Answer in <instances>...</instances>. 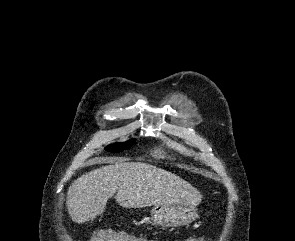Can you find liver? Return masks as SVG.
<instances>
[{"label":"liver","mask_w":295,"mask_h":241,"mask_svg":"<svg viewBox=\"0 0 295 241\" xmlns=\"http://www.w3.org/2000/svg\"><path fill=\"white\" fill-rule=\"evenodd\" d=\"M124 208L152 205L193 206L202 195L179 176L140 162H115L80 176L67 192V209L75 223H84L102 214L114 196Z\"/></svg>","instance_id":"6515ba94"}]
</instances>
